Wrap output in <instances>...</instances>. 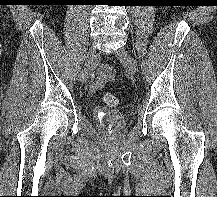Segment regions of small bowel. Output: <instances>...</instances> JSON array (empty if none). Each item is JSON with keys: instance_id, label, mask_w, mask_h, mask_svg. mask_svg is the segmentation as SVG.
I'll return each instance as SVG.
<instances>
[{"instance_id": "obj_1", "label": "small bowel", "mask_w": 217, "mask_h": 197, "mask_svg": "<svg viewBox=\"0 0 217 197\" xmlns=\"http://www.w3.org/2000/svg\"><path fill=\"white\" fill-rule=\"evenodd\" d=\"M115 78V73L108 65H102L98 72V77L90 85V92L95 93L101 90L108 81Z\"/></svg>"}]
</instances>
